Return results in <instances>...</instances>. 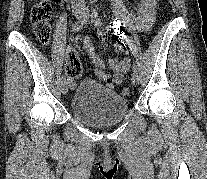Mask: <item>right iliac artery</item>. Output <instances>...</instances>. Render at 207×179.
Listing matches in <instances>:
<instances>
[{
	"instance_id": "obj_1",
	"label": "right iliac artery",
	"mask_w": 207,
	"mask_h": 179,
	"mask_svg": "<svg viewBox=\"0 0 207 179\" xmlns=\"http://www.w3.org/2000/svg\"><path fill=\"white\" fill-rule=\"evenodd\" d=\"M85 22V17L82 16L80 19H78V21L76 22V24L73 27V32L76 33L78 31L81 30V28L83 27ZM62 82L66 83V78L64 76H62ZM68 81H70V79H68Z\"/></svg>"
}]
</instances>
